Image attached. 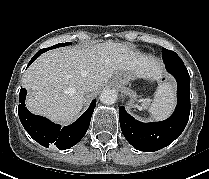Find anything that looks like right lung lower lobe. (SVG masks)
I'll use <instances>...</instances> for the list:
<instances>
[{
	"label": "right lung lower lobe",
	"mask_w": 209,
	"mask_h": 179,
	"mask_svg": "<svg viewBox=\"0 0 209 179\" xmlns=\"http://www.w3.org/2000/svg\"><path fill=\"white\" fill-rule=\"evenodd\" d=\"M42 53L44 52L39 50L30 60L28 66ZM25 98L26 89L21 88L18 114L25 130L40 145L47 148L49 145H55L60 150L74 146L83 138L89 128L91 116L96 105V100H93L87 111L77 121L61 128L60 125L52 123L45 117L30 113L25 107Z\"/></svg>",
	"instance_id": "98d812e1"
}]
</instances>
